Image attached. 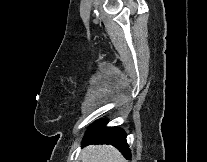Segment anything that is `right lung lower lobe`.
I'll list each match as a JSON object with an SVG mask.
<instances>
[{
  "instance_id": "98d812e1",
  "label": "right lung lower lobe",
  "mask_w": 207,
  "mask_h": 162,
  "mask_svg": "<svg viewBox=\"0 0 207 162\" xmlns=\"http://www.w3.org/2000/svg\"><path fill=\"white\" fill-rule=\"evenodd\" d=\"M107 121L101 120L95 123L86 133L83 145L92 143H109L127 158L131 159V153L126 143V133L118 127H106Z\"/></svg>"
}]
</instances>
